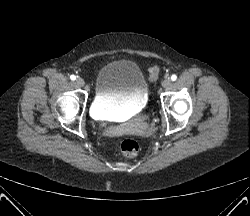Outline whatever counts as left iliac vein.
<instances>
[{
  "instance_id": "obj_1",
  "label": "left iliac vein",
  "mask_w": 250,
  "mask_h": 216,
  "mask_svg": "<svg viewBox=\"0 0 250 216\" xmlns=\"http://www.w3.org/2000/svg\"><path fill=\"white\" fill-rule=\"evenodd\" d=\"M171 83H172L171 79L166 78V79L163 80L162 86H163L164 88H168L169 86H171Z\"/></svg>"
}]
</instances>
